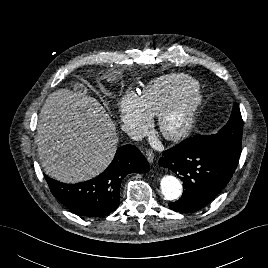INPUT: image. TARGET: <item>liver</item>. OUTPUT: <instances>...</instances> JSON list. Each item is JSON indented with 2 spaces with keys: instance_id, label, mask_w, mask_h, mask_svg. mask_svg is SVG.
<instances>
[{
  "instance_id": "obj_1",
  "label": "liver",
  "mask_w": 268,
  "mask_h": 268,
  "mask_svg": "<svg viewBox=\"0 0 268 268\" xmlns=\"http://www.w3.org/2000/svg\"><path fill=\"white\" fill-rule=\"evenodd\" d=\"M59 89L46 99L37 127V150L45 173L64 183L89 180L114 158L118 137L104 107L82 92Z\"/></svg>"
}]
</instances>
